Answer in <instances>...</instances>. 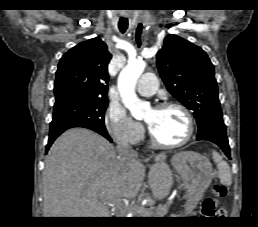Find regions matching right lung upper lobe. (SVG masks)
Returning a JSON list of instances; mask_svg holds the SVG:
<instances>
[{"instance_id": "1", "label": "right lung upper lobe", "mask_w": 258, "mask_h": 227, "mask_svg": "<svg viewBox=\"0 0 258 227\" xmlns=\"http://www.w3.org/2000/svg\"><path fill=\"white\" fill-rule=\"evenodd\" d=\"M111 57L106 44L100 38L81 42L70 49L58 64L55 95L75 93L107 98V66Z\"/></svg>"}]
</instances>
